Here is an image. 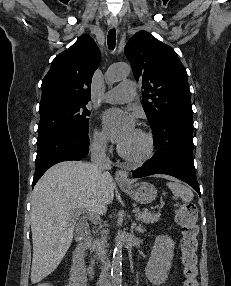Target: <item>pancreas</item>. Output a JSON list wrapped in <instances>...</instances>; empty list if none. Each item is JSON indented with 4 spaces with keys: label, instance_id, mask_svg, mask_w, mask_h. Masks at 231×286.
I'll list each match as a JSON object with an SVG mask.
<instances>
[{
    "label": "pancreas",
    "instance_id": "obj_1",
    "mask_svg": "<svg viewBox=\"0 0 231 286\" xmlns=\"http://www.w3.org/2000/svg\"><path fill=\"white\" fill-rule=\"evenodd\" d=\"M161 214L158 213H151L147 209L142 210L141 212L137 213V219L144 222V223H154L160 219ZM107 229H102L100 234L101 237L96 238L92 245V251H95L98 258H101L104 253V247L106 245V236L108 234Z\"/></svg>",
    "mask_w": 231,
    "mask_h": 286
}]
</instances>
